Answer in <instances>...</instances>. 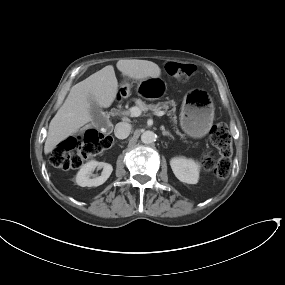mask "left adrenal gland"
I'll list each match as a JSON object with an SVG mask.
<instances>
[{
	"instance_id": "obj_1",
	"label": "left adrenal gland",
	"mask_w": 285,
	"mask_h": 285,
	"mask_svg": "<svg viewBox=\"0 0 285 285\" xmlns=\"http://www.w3.org/2000/svg\"><path fill=\"white\" fill-rule=\"evenodd\" d=\"M162 134H163V136H169V137H171L172 139H174V137L172 136V134H171L170 132L166 131V130H163V131H162Z\"/></svg>"
}]
</instances>
